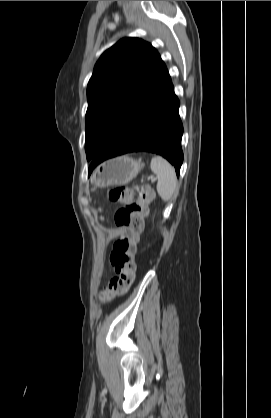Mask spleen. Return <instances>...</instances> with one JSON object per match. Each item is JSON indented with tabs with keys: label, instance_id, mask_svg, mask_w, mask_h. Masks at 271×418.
I'll return each mask as SVG.
<instances>
[{
	"label": "spleen",
	"instance_id": "3e777b00",
	"mask_svg": "<svg viewBox=\"0 0 271 418\" xmlns=\"http://www.w3.org/2000/svg\"><path fill=\"white\" fill-rule=\"evenodd\" d=\"M151 170L157 175V192L164 201H169L177 189V177L171 164L160 156L151 160Z\"/></svg>",
	"mask_w": 271,
	"mask_h": 418
}]
</instances>
